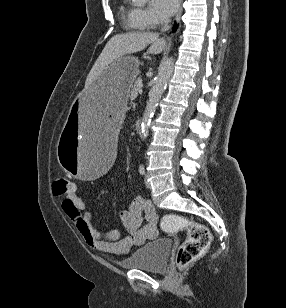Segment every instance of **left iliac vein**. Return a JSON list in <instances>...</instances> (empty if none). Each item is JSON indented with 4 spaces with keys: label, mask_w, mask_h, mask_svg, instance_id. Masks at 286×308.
Listing matches in <instances>:
<instances>
[{
    "label": "left iliac vein",
    "mask_w": 286,
    "mask_h": 308,
    "mask_svg": "<svg viewBox=\"0 0 286 308\" xmlns=\"http://www.w3.org/2000/svg\"><path fill=\"white\" fill-rule=\"evenodd\" d=\"M144 183H145V186H146L147 188H150V187H151L150 183H149L148 180H147V175H145Z\"/></svg>",
    "instance_id": "4c4485c4"
}]
</instances>
